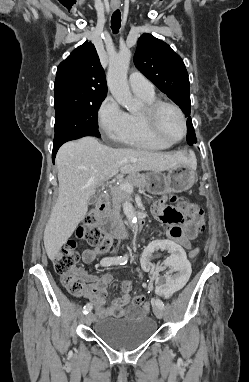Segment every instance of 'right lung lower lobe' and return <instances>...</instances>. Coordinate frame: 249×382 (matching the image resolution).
<instances>
[{
	"label": "right lung lower lobe",
	"mask_w": 249,
	"mask_h": 382,
	"mask_svg": "<svg viewBox=\"0 0 249 382\" xmlns=\"http://www.w3.org/2000/svg\"><path fill=\"white\" fill-rule=\"evenodd\" d=\"M81 137H84V136L74 137V138L67 139V140H64V141H62V142H59V143H54V144H53V152H52L53 163H54V160H55L56 153H57L59 147H60L62 144H64V143L67 142V141L75 140V139H78V138H81Z\"/></svg>",
	"instance_id": "98d812e1"
}]
</instances>
